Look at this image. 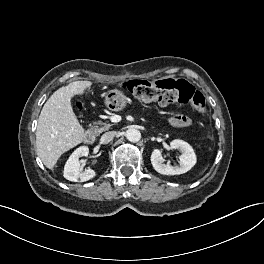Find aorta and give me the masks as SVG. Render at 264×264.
I'll list each match as a JSON object with an SVG mask.
<instances>
[{
  "instance_id": "obj_1",
  "label": "aorta",
  "mask_w": 264,
  "mask_h": 264,
  "mask_svg": "<svg viewBox=\"0 0 264 264\" xmlns=\"http://www.w3.org/2000/svg\"><path fill=\"white\" fill-rule=\"evenodd\" d=\"M125 136L130 142H138L141 139L140 131L135 128H129Z\"/></svg>"
}]
</instances>
